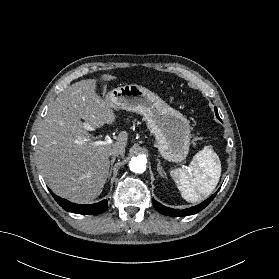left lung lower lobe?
Returning a JSON list of instances; mask_svg holds the SVG:
<instances>
[{"mask_svg": "<svg viewBox=\"0 0 279 279\" xmlns=\"http://www.w3.org/2000/svg\"><path fill=\"white\" fill-rule=\"evenodd\" d=\"M216 194H217V192L214 193L211 197H209L204 202H202V203H200V204H198L194 207H191V208H188V209H183V210H178V209H172V208L165 207L154 199L152 200V202H153V205H154L155 209L163 215H166V216H186V215L196 214V213L200 212L201 210H203L213 200V198L215 197Z\"/></svg>", "mask_w": 279, "mask_h": 279, "instance_id": "left-lung-lower-lobe-1", "label": "left lung lower lobe"}]
</instances>
